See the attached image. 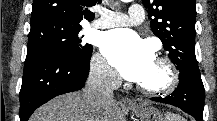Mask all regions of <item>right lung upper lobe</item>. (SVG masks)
I'll return each instance as SVG.
<instances>
[{
  "label": "right lung upper lobe",
  "instance_id": "obj_1",
  "mask_svg": "<svg viewBox=\"0 0 217 121\" xmlns=\"http://www.w3.org/2000/svg\"><path fill=\"white\" fill-rule=\"evenodd\" d=\"M102 0H33L31 23L42 20H58L65 23L79 24L81 20L94 19V13L88 7Z\"/></svg>",
  "mask_w": 217,
  "mask_h": 121
}]
</instances>
